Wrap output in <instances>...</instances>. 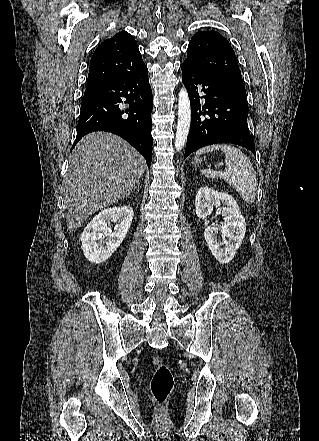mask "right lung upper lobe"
I'll return each mask as SVG.
<instances>
[{
	"label": "right lung upper lobe",
	"mask_w": 319,
	"mask_h": 441,
	"mask_svg": "<svg viewBox=\"0 0 319 441\" xmlns=\"http://www.w3.org/2000/svg\"><path fill=\"white\" fill-rule=\"evenodd\" d=\"M145 66L138 45L126 31L102 42L93 53L85 94Z\"/></svg>",
	"instance_id": "cb5924a9"
}]
</instances>
